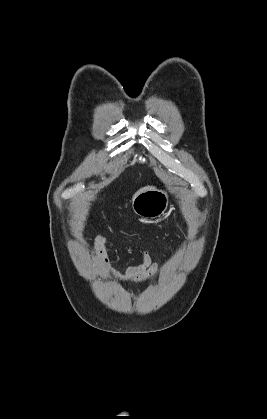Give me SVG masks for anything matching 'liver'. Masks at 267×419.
I'll use <instances>...</instances> for the list:
<instances>
[{"instance_id":"obj_1","label":"liver","mask_w":267,"mask_h":419,"mask_svg":"<svg viewBox=\"0 0 267 419\" xmlns=\"http://www.w3.org/2000/svg\"><path fill=\"white\" fill-rule=\"evenodd\" d=\"M150 188H153V187H150V186H146V187H144V188H141L136 194H135V196L137 195V194H139L140 192H142V191H144V190H147V189H150ZM134 196V197H135Z\"/></svg>"}]
</instances>
